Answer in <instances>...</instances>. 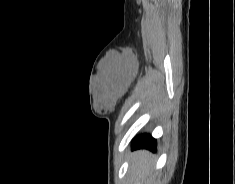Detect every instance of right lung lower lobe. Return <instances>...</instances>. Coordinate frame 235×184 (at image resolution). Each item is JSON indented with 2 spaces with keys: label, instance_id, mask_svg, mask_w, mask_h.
Listing matches in <instances>:
<instances>
[{
  "label": "right lung lower lobe",
  "instance_id": "right-lung-lower-lobe-1",
  "mask_svg": "<svg viewBox=\"0 0 235 184\" xmlns=\"http://www.w3.org/2000/svg\"><path fill=\"white\" fill-rule=\"evenodd\" d=\"M141 148L156 151V140L150 134L138 136L132 144V150Z\"/></svg>",
  "mask_w": 235,
  "mask_h": 184
}]
</instances>
